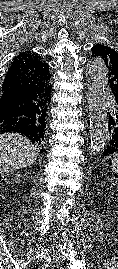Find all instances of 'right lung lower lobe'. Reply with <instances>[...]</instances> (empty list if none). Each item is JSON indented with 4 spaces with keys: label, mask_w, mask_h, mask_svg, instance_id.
<instances>
[{
    "label": "right lung lower lobe",
    "mask_w": 118,
    "mask_h": 269,
    "mask_svg": "<svg viewBox=\"0 0 118 269\" xmlns=\"http://www.w3.org/2000/svg\"><path fill=\"white\" fill-rule=\"evenodd\" d=\"M36 91L2 90L0 94V134L18 132L38 147L43 146L44 134L37 129ZM43 151V150H42Z\"/></svg>",
    "instance_id": "right-lung-lower-lobe-1"
}]
</instances>
